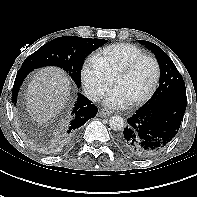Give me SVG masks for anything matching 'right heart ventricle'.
<instances>
[{
	"instance_id": "1",
	"label": "right heart ventricle",
	"mask_w": 197,
	"mask_h": 197,
	"mask_svg": "<svg viewBox=\"0 0 197 197\" xmlns=\"http://www.w3.org/2000/svg\"><path fill=\"white\" fill-rule=\"evenodd\" d=\"M142 55H145V52L139 47L119 43L100 50L93 56V59L109 76L114 78L121 68Z\"/></svg>"
}]
</instances>
